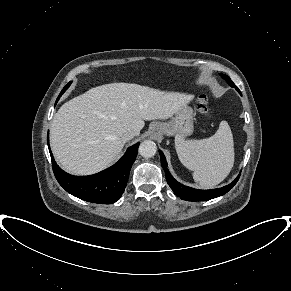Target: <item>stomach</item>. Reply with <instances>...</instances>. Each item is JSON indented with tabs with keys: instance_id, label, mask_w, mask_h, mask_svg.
<instances>
[{
	"instance_id": "1",
	"label": "stomach",
	"mask_w": 291,
	"mask_h": 291,
	"mask_svg": "<svg viewBox=\"0 0 291 291\" xmlns=\"http://www.w3.org/2000/svg\"><path fill=\"white\" fill-rule=\"evenodd\" d=\"M193 117V110L187 105L183 106L170 121L159 123L157 131L160 134L184 138L193 132Z\"/></svg>"
}]
</instances>
